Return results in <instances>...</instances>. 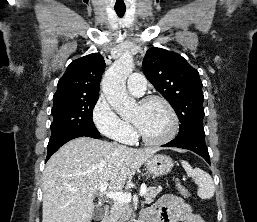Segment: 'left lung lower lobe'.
<instances>
[{
  "label": "left lung lower lobe",
  "mask_w": 257,
  "mask_h": 222,
  "mask_svg": "<svg viewBox=\"0 0 257 222\" xmlns=\"http://www.w3.org/2000/svg\"><path fill=\"white\" fill-rule=\"evenodd\" d=\"M163 147H178L191 150L202 156L210 164V156L205 143L204 136H188L184 138H175Z\"/></svg>",
  "instance_id": "1"
}]
</instances>
